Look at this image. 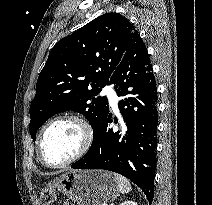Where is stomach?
Segmentation results:
<instances>
[{
  "mask_svg": "<svg viewBox=\"0 0 212 205\" xmlns=\"http://www.w3.org/2000/svg\"><path fill=\"white\" fill-rule=\"evenodd\" d=\"M52 182L77 205H105L119 194L114 174L104 170L68 171Z\"/></svg>",
  "mask_w": 212,
  "mask_h": 205,
  "instance_id": "1",
  "label": "stomach"
}]
</instances>
